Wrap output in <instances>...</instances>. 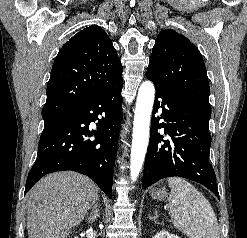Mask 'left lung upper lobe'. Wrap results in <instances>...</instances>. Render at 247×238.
I'll use <instances>...</instances> for the list:
<instances>
[{"label": "left lung upper lobe", "instance_id": "5c2ea615", "mask_svg": "<svg viewBox=\"0 0 247 238\" xmlns=\"http://www.w3.org/2000/svg\"><path fill=\"white\" fill-rule=\"evenodd\" d=\"M172 96L211 116L209 82L198 49L174 30L159 33L147 74Z\"/></svg>", "mask_w": 247, "mask_h": 238}]
</instances>
